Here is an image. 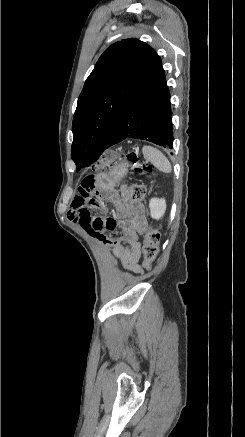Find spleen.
I'll use <instances>...</instances> for the list:
<instances>
[{"instance_id":"3e777b00","label":"spleen","mask_w":245,"mask_h":437,"mask_svg":"<svg viewBox=\"0 0 245 437\" xmlns=\"http://www.w3.org/2000/svg\"><path fill=\"white\" fill-rule=\"evenodd\" d=\"M143 156L146 160L153 163V165L164 173L172 171L171 163L168 158L157 148L145 145L142 148Z\"/></svg>"}]
</instances>
